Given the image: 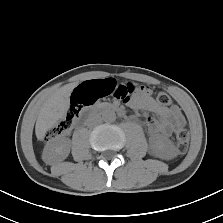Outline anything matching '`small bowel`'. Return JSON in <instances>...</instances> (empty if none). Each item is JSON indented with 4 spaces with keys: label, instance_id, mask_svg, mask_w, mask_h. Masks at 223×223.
Segmentation results:
<instances>
[{
    "label": "small bowel",
    "instance_id": "small-bowel-1",
    "mask_svg": "<svg viewBox=\"0 0 223 223\" xmlns=\"http://www.w3.org/2000/svg\"><path fill=\"white\" fill-rule=\"evenodd\" d=\"M131 107L152 112L157 118L147 117L146 125L151 136H168L182 129L186 120L176 106L163 107L153 96L150 88L143 87L128 101Z\"/></svg>",
    "mask_w": 223,
    "mask_h": 223
}]
</instances>
